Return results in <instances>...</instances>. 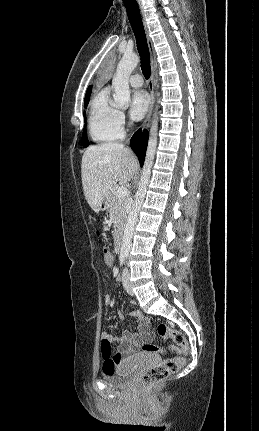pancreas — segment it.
Returning <instances> with one entry per match:
<instances>
[{
  "label": "pancreas",
  "mask_w": 259,
  "mask_h": 431,
  "mask_svg": "<svg viewBox=\"0 0 259 431\" xmlns=\"http://www.w3.org/2000/svg\"><path fill=\"white\" fill-rule=\"evenodd\" d=\"M108 211L114 224V234L117 235L121 232L127 217V198L118 197L117 188H114L109 194Z\"/></svg>",
  "instance_id": "pancreas-1"
}]
</instances>
